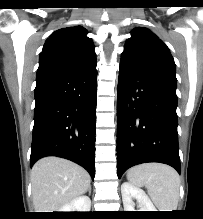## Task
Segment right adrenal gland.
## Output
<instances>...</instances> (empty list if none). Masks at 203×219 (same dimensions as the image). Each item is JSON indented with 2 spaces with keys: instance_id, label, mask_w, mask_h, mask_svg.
<instances>
[{
  "instance_id": "right-adrenal-gland-1",
  "label": "right adrenal gland",
  "mask_w": 203,
  "mask_h": 219,
  "mask_svg": "<svg viewBox=\"0 0 203 219\" xmlns=\"http://www.w3.org/2000/svg\"><path fill=\"white\" fill-rule=\"evenodd\" d=\"M87 191L89 192V195H91V186L88 187Z\"/></svg>"
}]
</instances>
